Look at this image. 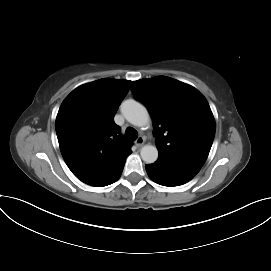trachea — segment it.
<instances>
[{
    "mask_svg": "<svg viewBox=\"0 0 271 271\" xmlns=\"http://www.w3.org/2000/svg\"><path fill=\"white\" fill-rule=\"evenodd\" d=\"M125 134H126L127 139L131 141H134L138 136V132L132 127H128L126 129Z\"/></svg>",
    "mask_w": 271,
    "mask_h": 271,
    "instance_id": "3493384b",
    "label": "trachea"
}]
</instances>
